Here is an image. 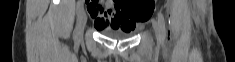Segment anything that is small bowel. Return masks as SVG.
<instances>
[{
	"instance_id": "obj_1",
	"label": "small bowel",
	"mask_w": 235,
	"mask_h": 62,
	"mask_svg": "<svg viewBox=\"0 0 235 62\" xmlns=\"http://www.w3.org/2000/svg\"><path fill=\"white\" fill-rule=\"evenodd\" d=\"M121 3L125 1H107L97 5H91L88 12L94 22V26L98 31L107 29L135 30L141 24L135 22L131 17L124 13Z\"/></svg>"
}]
</instances>
